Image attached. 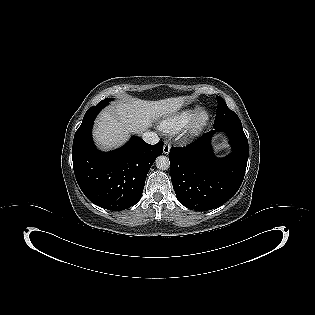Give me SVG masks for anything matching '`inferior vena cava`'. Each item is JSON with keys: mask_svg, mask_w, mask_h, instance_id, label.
Listing matches in <instances>:
<instances>
[{"mask_svg": "<svg viewBox=\"0 0 315 315\" xmlns=\"http://www.w3.org/2000/svg\"><path fill=\"white\" fill-rule=\"evenodd\" d=\"M142 138L145 142L149 144H156L159 142V137L155 132L146 131L143 133Z\"/></svg>", "mask_w": 315, "mask_h": 315, "instance_id": "inferior-vena-cava-1", "label": "inferior vena cava"}]
</instances>
